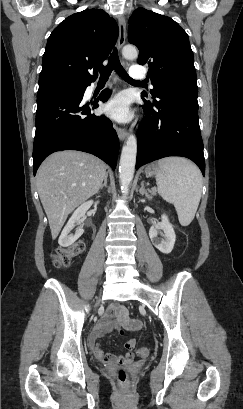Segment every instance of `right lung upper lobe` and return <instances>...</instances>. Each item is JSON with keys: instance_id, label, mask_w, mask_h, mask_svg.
<instances>
[{"instance_id": "cb5924a9", "label": "right lung upper lobe", "mask_w": 243, "mask_h": 409, "mask_svg": "<svg viewBox=\"0 0 243 409\" xmlns=\"http://www.w3.org/2000/svg\"><path fill=\"white\" fill-rule=\"evenodd\" d=\"M118 32L115 20L102 9L67 17L48 38L39 79L64 77L85 85L94 81Z\"/></svg>"}]
</instances>
